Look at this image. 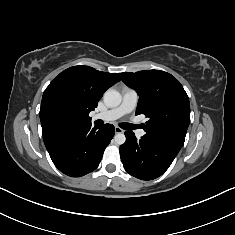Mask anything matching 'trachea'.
<instances>
[{"instance_id":"obj_1","label":"trachea","mask_w":235,"mask_h":235,"mask_svg":"<svg viewBox=\"0 0 235 235\" xmlns=\"http://www.w3.org/2000/svg\"><path fill=\"white\" fill-rule=\"evenodd\" d=\"M119 126L125 130H132L137 127L136 125L129 124V123H121Z\"/></svg>"}]
</instances>
